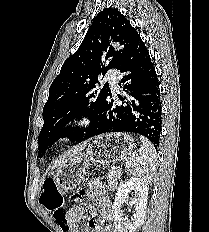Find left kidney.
Wrapping results in <instances>:
<instances>
[{
    "instance_id": "1",
    "label": "left kidney",
    "mask_w": 209,
    "mask_h": 232,
    "mask_svg": "<svg viewBox=\"0 0 209 232\" xmlns=\"http://www.w3.org/2000/svg\"><path fill=\"white\" fill-rule=\"evenodd\" d=\"M148 184L140 178H131L122 181L112 207L114 224L118 232H135L144 222L145 210L148 200ZM134 191L136 197L130 199L129 194ZM129 201V205H135V215L132 220L124 219L122 213V206Z\"/></svg>"
}]
</instances>
